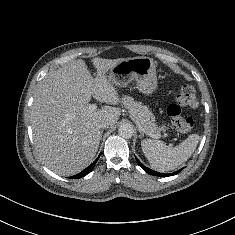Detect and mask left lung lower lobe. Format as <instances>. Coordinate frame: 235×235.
I'll list each match as a JSON object with an SVG mask.
<instances>
[{
    "label": "left lung lower lobe",
    "mask_w": 235,
    "mask_h": 235,
    "mask_svg": "<svg viewBox=\"0 0 235 235\" xmlns=\"http://www.w3.org/2000/svg\"><path fill=\"white\" fill-rule=\"evenodd\" d=\"M136 160L143 170H145L147 173L154 175V176H173L182 170V169H180V170H178L174 173H170V174L159 173V172H156V171L151 170V169L147 168L146 166H144L137 158H136Z\"/></svg>",
    "instance_id": "0a47b994"
}]
</instances>
